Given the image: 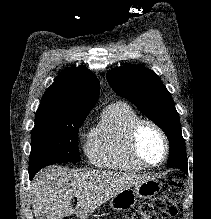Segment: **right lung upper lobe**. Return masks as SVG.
<instances>
[{"instance_id":"obj_1","label":"right lung upper lobe","mask_w":211,"mask_h":219,"mask_svg":"<svg viewBox=\"0 0 211 219\" xmlns=\"http://www.w3.org/2000/svg\"><path fill=\"white\" fill-rule=\"evenodd\" d=\"M99 90V81L90 70L70 67L45 91L39 108L56 115L88 114L97 102Z\"/></svg>"}]
</instances>
